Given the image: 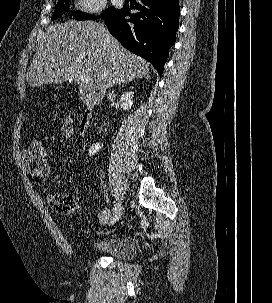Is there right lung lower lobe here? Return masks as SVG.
<instances>
[{
  "instance_id": "right-lung-lower-lobe-1",
  "label": "right lung lower lobe",
  "mask_w": 272,
  "mask_h": 303,
  "mask_svg": "<svg viewBox=\"0 0 272 303\" xmlns=\"http://www.w3.org/2000/svg\"><path fill=\"white\" fill-rule=\"evenodd\" d=\"M134 9L139 12L129 14L130 8L124 6L106 18L108 30L125 48L151 62L162 75L179 28V0H140Z\"/></svg>"
}]
</instances>
